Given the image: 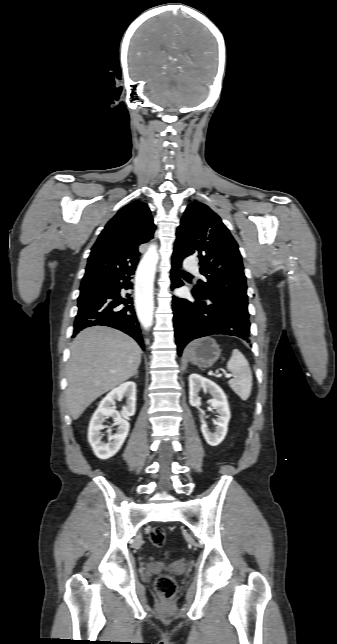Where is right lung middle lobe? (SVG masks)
I'll list each match as a JSON object with an SVG mask.
<instances>
[{
  "label": "right lung middle lobe",
  "mask_w": 337,
  "mask_h": 644,
  "mask_svg": "<svg viewBox=\"0 0 337 644\" xmlns=\"http://www.w3.org/2000/svg\"><path fill=\"white\" fill-rule=\"evenodd\" d=\"M105 286H106V280L81 283L80 296L78 297V300H82L84 298L91 296L92 294L99 291Z\"/></svg>",
  "instance_id": "1"
}]
</instances>
